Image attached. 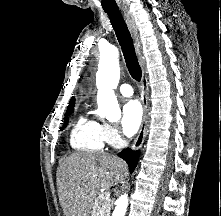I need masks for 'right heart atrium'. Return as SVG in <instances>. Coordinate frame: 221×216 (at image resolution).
<instances>
[{"mask_svg":"<svg viewBox=\"0 0 221 216\" xmlns=\"http://www.w3.org/2000/svg\"><path fill=\"white\" fill-rule=\"evenodd\" d=\"M102 133L107 144L114 145L119 140L118 130L111 124H103Z\"/></svg>","mask_w":221,"mask_h":216,"instance_id":"obj_1","label":"right heart atrium"}]
</instances>
